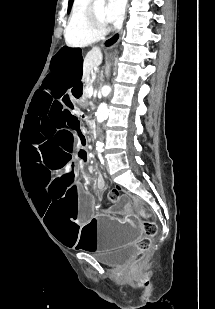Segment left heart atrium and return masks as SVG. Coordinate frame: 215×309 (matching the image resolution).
Wrapping results in <instances>:
<instances>
[{"label": "left heart atrium", "mask_w": 215, "mask_h": 309, "mask_svg": "<svg viewBox=\"0 0 215 309\" xmlns=\"http://www.w3.org/2000/svg\"><path fill=\"white\" fill-rule=\"evenodd\" d=\"M107 9L104 13V17L99 18V20H110L111 24L117 22L121 13L126 11V6L123 5L122 0H107Z\"/></svg>", "instance_id": "39dd6f15"}]
</instances>
